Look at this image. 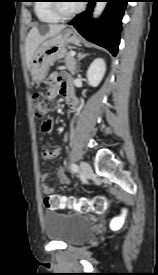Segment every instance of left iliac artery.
I'll return each instance as SVG.
<instances>
[{"label": "left iliac artery", "instance_id": "1", "mask_svg": "<svg viewBox=\"0 0 158 275\" xmlns=\"http://www.w3.org/2000/svg\"><path fill=\"white\" fill-rule=\"evenodd\" d=\"M70 169L72 170V172L77 173L78 172V166L76 164H71L70 165Z\"/></svg>", "mask_w": 158, "mask_h": 275}]
</instances>
